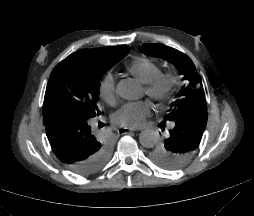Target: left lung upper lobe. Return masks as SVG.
Segmentation results:
<instances>
[{
	"mask_svg": "<svg viewBox=\"0 0 254 216\" xmlns=\"http://www.w3.org/2000/svg\"><path fill=\"white\" fill-rule=\"evenodd\" d=\"M142 52L173 63L188 80V85L179 91L177 100L161 122V129L169 130L168 138L150 153L158 164L178 168L195 155L206 127L208 112L202 81L192 60L174 48L144 44Z\"/></svg>",
	"mask_w": 254,
	"mask_h": 216,
	"instance_id": "left-lung-upper-lobe-1",
	"label": "left lung upper lobe"
}]
</instances>
